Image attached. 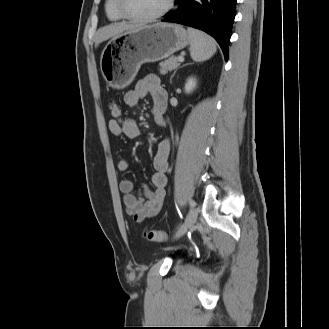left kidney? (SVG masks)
Listing matches in <instances>:
<instances>
[{"instance_id": "obj_1", "label": "left kidney", "mask_w": 329, "mask_h": 329, "mask_svg": "<svg viewBox=\"0 0 329 329\" xmlns=\"http://www.w3.org/2000/svg\"><path fill=\"white\" fill-rule=\"evenodd\" d=\"M196 85H197L196 78L193 77L188 78L184 87L185 93L187 94L191 93L196 88Z\"/></svg>"}]
</instances>
